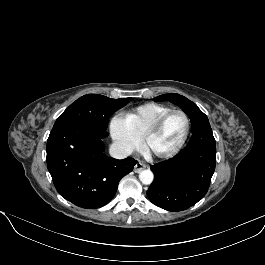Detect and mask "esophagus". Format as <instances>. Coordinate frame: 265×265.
I'll list each match as a JSON object with an SVG mask.
<instances>
[{
  "label": "esophagus",
  "mask_w": 265,
  "mask_h": 265,
  "mask_svg": "<svg viewBox=\"0 0 265 265\" xmlns=\"http://www.w3.org/2000/svg\"><path fill=\"white\" fill-rule=\"evenodd\" d=\"M146 168V166L142 163V162H138L135 166H134V171L136 173L141 172L142 170H144Z\"/></svg>",
  "instance_id": "esophagus-1"
}]
</instances>
